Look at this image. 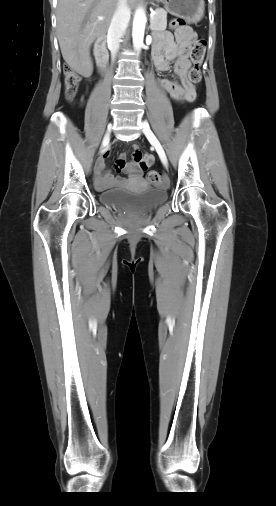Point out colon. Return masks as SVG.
<instances>
[{
	"label": "colon",
	"instance_id": "1",
	"mask_svg": "<svg viewBox=\"0 0 276 506\" xmlns=\"http://www.w3.org/2000/svg\"><path fill=\"white\" fill-rule=\"evenodd\" d=\"M170 27L176 31L188 28L187 22L185 19L180 17H175L170 21ZM206 40L204 38H198L194 41L191 52L190 59L193 63V67L189 71V80L194 83H200L202 79V63L204 60L205 52H206ZM64 92L66 98L71 100L77 94L79 84H80V75L74 70L65 67L64 69ZM136 159H141L139 155ZM146 179L149 183L161 186H167L168 181L163 177V175L158 171H150L146 175Z\"/></svg>",
	"mask_w": 276,
	"mask_h": 506
}]
</instances>
